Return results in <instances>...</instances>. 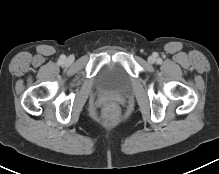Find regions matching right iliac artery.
Segmentation results:
<instances>
[{
    "label": "right iliac artery",
    "mask_w": 219,
    "mask_h": 174,
    "mask_svg": "<svg viewBox=\"0 0 219 174\" xmlns=\"http://www.w3.org/2000/svg\"><path fill=\"white\" fill-rule=\"evenodd\" d=\"M65 59V57L63 56V57H61V59H60V62H63V60Z\"/></svg>",
    "instance_id": "82829eb1"
}]
</instances>
